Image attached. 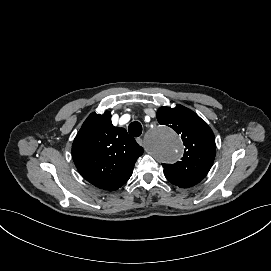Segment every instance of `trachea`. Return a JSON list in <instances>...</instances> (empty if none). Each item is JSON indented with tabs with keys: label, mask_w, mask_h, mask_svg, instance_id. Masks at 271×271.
<instances>
[{
	"label": "trachea",
	"mask_w": 271,
	"mask_h": 271,
	"mask_svg": "<svg viewBox=\"0 0 271 271\" xmlns=\"http://www.w3.org/2000/svg\"><path fill=\"white\" fill-rule=\"evenodd\" d=\"M142 130H143L142 125L138 121H134L130 123V125L128 126V132L134 137L140 136Z\"/></svg>",
	"instance_id": "obj_1"
}]
</instances>
